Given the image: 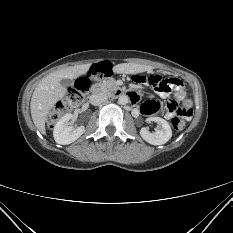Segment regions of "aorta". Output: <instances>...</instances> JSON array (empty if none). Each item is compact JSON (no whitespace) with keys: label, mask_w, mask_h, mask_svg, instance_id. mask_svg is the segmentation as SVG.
Instances as JSON below:
<instances>
[{"label":"aorta","mask_w":233,"mask_h":233,"mask_svg":"<svg viewBox=\"0 0 233 233\" xmlns=\"http://www.w3.org/2000/svg\"><path fill=\"white\" fill-rule=\"evenodd\" d=\"M129 101V98L127 95H121L118 99L119 104L126 105Z\"/></svg>","instance_id":"obj_1"}]
</instances>
